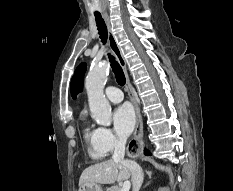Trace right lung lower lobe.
Segmentation results:
<instances>
[{
  "label": "right lung lower lobe",
  "instance_id": "obj_1",
  "mask_svg": "<svg viewBox=\"0 0 233 191\" xmlns=\"http://www.w3.org/2000/svg\"><path fill=\"white\" fill-rule=\"evenodd\" d=\"M145 155H149V152L145 151Z\"/></svg>",
  "mask_w": 233,
  "mask_h": 191
}]
</instances>
